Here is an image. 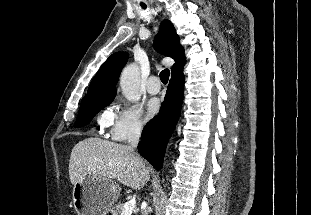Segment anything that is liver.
<instances>
[{
  "instance_id": "6515ba94",
  "label": "liver",
  "mask_w": 311,
  "mask_h": 215,
  "mask_svg": "<svg viewBox=\"0 0 311 215\" xmlns=\"http://www.w3.org/2000/svg\"><path fill=\"white\" fill-rule=\"evenodd\" d=\"M84 174H93L140 190L150 178V169L128 145L96 137L79 141L69 160V178L74 185Z\"/></svg>"
}]
</instances>
